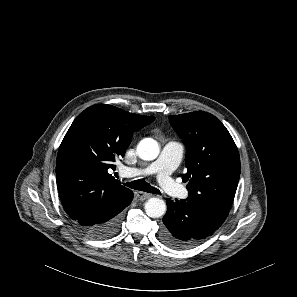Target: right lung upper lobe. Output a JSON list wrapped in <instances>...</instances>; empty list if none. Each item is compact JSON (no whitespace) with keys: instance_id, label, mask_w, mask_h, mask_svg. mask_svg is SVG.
Returning a JSON list of instances; mask_svg holds the SVG:
<instances>
[{"instance_id":"obj_1","label":"right lung upper lobe","mask_w":297,"mask_h":297,"mask_svg":"<svg viewBox=\"0 0 297 297\" xmlns=\"http://www.w3.org/2000/svg\"><path fill=\"white\" fill-rule=\"evenodd\" d=\"M154 116L126 112L111 105H93L74 120L57 154L56 181L67 214L74 220L94 203L115 204L131 191L108 170L125 155L132 134Z\"/></svg>"}]
</instances>
